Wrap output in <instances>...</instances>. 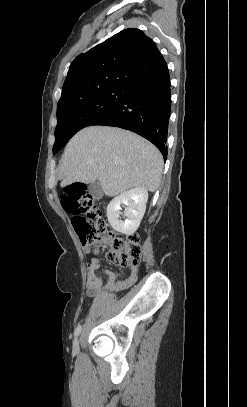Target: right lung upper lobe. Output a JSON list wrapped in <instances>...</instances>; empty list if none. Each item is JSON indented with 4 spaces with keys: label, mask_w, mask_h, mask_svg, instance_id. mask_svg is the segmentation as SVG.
Listing matches in <instances>:
<instances>
[{
    "label": "right lung upper lobe",
    "mask_w": 247,
    "mask_h": 407,
    "mask_svg": "<svg viewBox=\"0 0 247 407\" xmlns=\"http://www.w3.org/2000/svg\"><path fill=\"white\" fill-rule=\"evenodd\" d=\"M166 65L155 42L125 29L71 63L57 107L110 87H131Z\"/></svg>",
    "instance_id": "cb5924a9"
}]
</instances>
